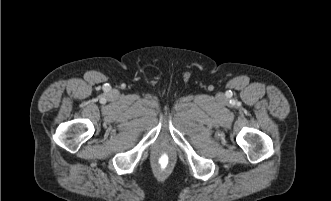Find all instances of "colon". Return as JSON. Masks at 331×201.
I'll list each match as a JSON object with an SVG mask.
<instances>
[{"label":"colon","mask_w":331,"mask_h":201,"mask_svg":"<svg viewBox=\"0 0 331 201\" xmlns=\"http://www.w3.org/2000/svg\"><path fill=\"white\" fill-rule=\"evenodd\" d=\"M172 159L168 153H161L155 159V165L159 170L166 171L172 166Z\"/></svg>","instance_id":"5ec220e1"}]
</instances>
